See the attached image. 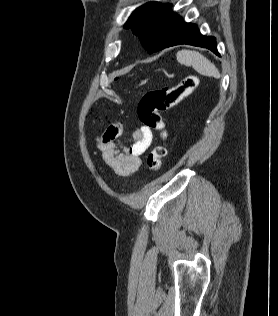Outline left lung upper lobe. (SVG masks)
<instances>
[{
    "instance_id": "5c2ea615",
    "label": "left lung upper lobe",
    "mask_w": 278,
    "mask_h": 316,
    "mask_svg": "<svg viewBox=\"0 0 278 316\" xmlns=\"http://www.w3.org/2000/svg\"><path fill=\"white\" fill-rule=\"evenodd\" d=\"M171 7V4L145 3L131 14L124 25L139 36L149 54L164 49L182 21Z\"/></svg>"
}]
</instances>
